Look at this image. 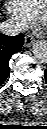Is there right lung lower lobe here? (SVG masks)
Segmentation results:
<instances>
[{"label":"right lung lower lobe","mask_w":47,"mask_h":129,"mask_svg":"<svg viewBox=\"0 0 47 129\" xmlns=\"http://www.w3.org/2000/svg\"><path fill=\"white\" fill-rule=\"evenodd\" d=\"M23 35L7 36L0 33V85L9 75V60L13 54L21 51Z\"/></svg>","instance_id":"obj_1"}]
</instances>
